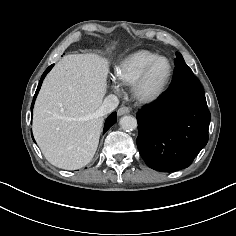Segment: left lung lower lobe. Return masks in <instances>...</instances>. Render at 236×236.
I'll return each mask as SVG.
<instances>
[{
	"instance_id": "0a47b994",
	"label": "left lung lower lobe",
	"mask_w": 236,
	"mask_h": 236,
	"mask_svg": "<svg viewBox=\"0 0 236 236\" xmlns=\"http://www.w3.org/2000/svg\"><path fill=\"white\" fill-rule=\"evenodd\" d=\"M137 146L152 169L173 172L191 165L208 142L210 112L191 68L177 65L166 93L139 109Z\"/></svg>"
}]
</instances>
